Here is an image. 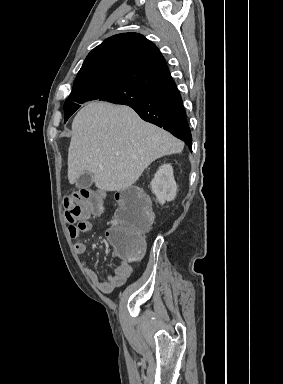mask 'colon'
<instances>
[{"label": "colon", "instance_id": "1", "mask_svg": "<svg viewBox=\"0 0 283 384\" xmlns=\"http://www.w3.org/2000/svg\"><path fill=\"white\" fill-rule=\"evenodd\" d=\"M117 209L108 231V239L117 257L135 261L145 251L144 234L153 222L148 201L135 188H127L117 194ZM105 195L101 191L78 189L64 197L65 218L70 226L83 222L90 214L103 212Z\"/></svg>", "mask_w": 283, "mask_h": 384}]
</instances>
